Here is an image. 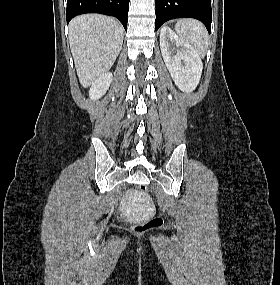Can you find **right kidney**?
<instances>
[{"label":"right kidney","instance_id":"ca27d5eb","mask_svg":"<svg viewBox=\"0 0 280 285\" xmlns=\"http://www.w3.org/2000/svg\"><path fill=\"white\" fill-rule=\"evenodd\" d=\"M113 75L110 72L103 74L98 78L92 85L89 90V97L91 100H97L101 98L109 89L112 82Z\"/></svg>","mask_w":280,"mask_h":285}]
</instances>
